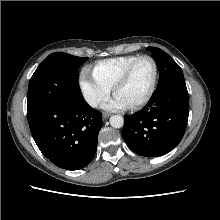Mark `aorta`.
I'll list each match as a JSON object with an SVG mask.
<instances>
[{
	"instance_id": "762f6f07",
	"label": "aorta",
	"mask_w": 220,
	"mask_h": 220,
	"mask_svg": "<svg viewBox=\"0 0 220 220\" xmlns=\"http://www.w3.org/2000/svg\"><path fill=\"white\" fill-rule=\"evenodd\" d=\"M110 125L113 128H121L124 125V118L120 115H113L110 117Z\"/></svg>"
}]
</instances>
